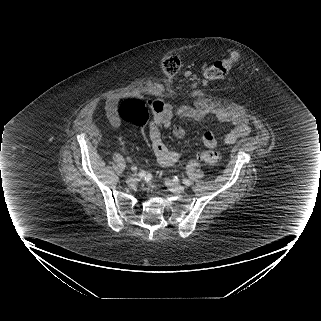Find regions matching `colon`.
Masks as SVG:
<instances>
[{
    "label": "colon",
    "mask_w": 321,
    "mask_h": 321,
    "mask_svg": "<svg viewBox=\"0 0 321 321\" xmlns=\"http://www.w3.org/2000/svg\"><path fill=\"white\" fill-rule=\"evenodd\" d=\"M239 60V52L233 51L227 58L215 62L208 69L202 70L201 75L209 79L224 78L231 72ZM180 67V58L175 54L165 56L160 62L161 71L167 77L175 76ZM118 116L121 122L134 125L138 128H144L149 119L147 107L139 100H126L122 102L118 109ZM199 158L204 163L212 165L219 163L221 160L220 154L214 150L200 153Z\"/></svg>",
    "instance_id": "colon-1"
}]
</instances>
